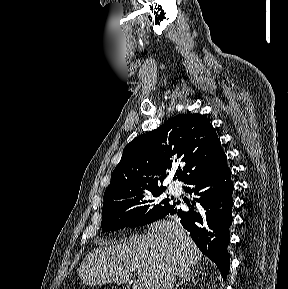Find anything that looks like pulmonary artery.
I'll return each instance as SVG.
<instances>
[{
  "mask_svg": "<svg viewBox=\"0 0 288 289\" xmlns=\"http://www.w3.org/2000/svg\"><path fill=\"white\" fill-rule=\"evenodd\" d=\"M171 192L177 194L179 192V187L176 185L171 186Z\"/></svg>",
  "mask_w": 288,
  "mask_h": 289,
  "instance_id": "pulmonary-artery-1",
  "label": "pulmonary artery"
}]
</instances>
